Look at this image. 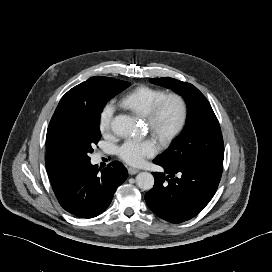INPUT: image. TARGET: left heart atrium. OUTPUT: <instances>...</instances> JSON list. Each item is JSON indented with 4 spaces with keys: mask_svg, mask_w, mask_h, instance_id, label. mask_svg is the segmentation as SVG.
Segmentation results:
<instances>
[{
    "mask_svg": "<svg viewBox=\"0 0 272 272\" xmlns=\"http://www.w3.org/2000/svg\"><path fill=\"white\" fill-rule=\"evenodd\" d=\"M117 152L119 157L129 165L139 166L146 158L154 156L157 148L151 141L130 139L119 146Z\"/></svg>",
    "mask_w": 272,
    "mask_h": 272,
    "instance_id": "left-heart-atrium-1",
    "label": "left heart atrium"
}]
</instances>
